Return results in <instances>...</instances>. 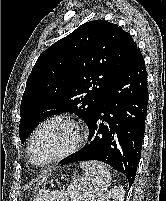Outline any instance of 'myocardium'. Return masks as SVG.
Segmentation results:
<instances>
[{
    "mask_svg": "<svg viewBox=\"0 0 166 201\" xmlns=\"http://www.w3.org/2000/svg\"><path fill=\"white\" fill-rule=\"evenodd\" d=\"M55 122H62V123H66V124L72 126L75 131V140H74L72 146L67 151H65L43 163H36L32 159V148H33V144L36 139V136L45 126H47L51 123H55ZM84 137H85L84 128L75 119L67 117V116H54V117L48 118V119L44 120L43 122H41L35 128V130L33 131L32 135L30 137V140L28 143V148H27V155H28L29 162L38 167H46V166H50L52 164L58 163L64 159L68 158L69 156L73 155L74 153H76L80 149V147L84 141Z\"/></svg>",
    "mask_w": 166,
    "mask_h": 201,
    "instance_id": "f54148a6",
    "label": "myocardium"
}]
</instances>
